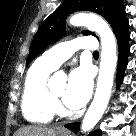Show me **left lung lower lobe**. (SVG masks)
<instances>
[{"mask_svg":"<svg viewBox=\"0 0 136 136\" xmlns=\"http://www.w3.org/2000/svg\"><path fill=\"white\" fill-rule=\"evenodd\" d=\"M129 22L128 19L125 18L121 24L115 29L114 33L116 35V39L118 41V48H119V63H118V70H117V85L121 83L124 70L127 65V56L129 55L130 48H129ZM79 123L67 124L65 125L66 128L78 132L79 131ZM89 136H100L99 132H94L93 134H89Z\"/></svg>","mask_w":136,"mask_h":136,"instance_id":"left-lung-lower-lobe-1","label":"left lung lower lobe"}]
</instances>
